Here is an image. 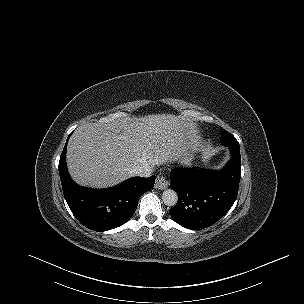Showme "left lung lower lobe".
Returning a JSON list of instances; mask_svg holds the SVG:
<instances>
[{
	"mask_svg": "<svg viewBox=\"0 0 304 304\" xmlns=\"http://www.w3.org/2000/svg\"><path fill=\"white\" fill-rule=\"evenodd\" d=\"M231 152L228 164L220 171L175 168L170 187L178 194L177 204L169 210L181 226L201 230L221 219L234 204L241 177L239 145H226Z\"/></svg>",
	"mask_w": 304,
	"mask_h": 304,
	"instance_id": "0a47b994",
	"label": "left lung lower lobe"
}]
</instances>
